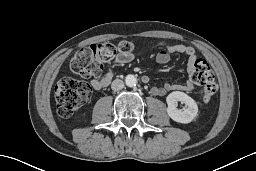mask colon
I'll use <instances>...</instances> for the list:
<instances>
[{
  "mask_svg": "<svg viewBox=\"0 0 256 171\" xmlns=\"http://www.w3.org/2000/svg\"><path fill=\"white\" fill-rule=\"evenodd\" d=\"M132 48L128 41L84 47L71 59L70 68L83 77L99 76L104 63L114 60L118 55L129 54ZM191 73L192 81L202 87V100L208 103L217 91L214 72L205 60L198 59ZM55 95L58 113L69 117L88 101L91 88L85 82L65 77L58 81Z\"/></svg>",
  "mask_w": 256,
  "mask_h": 171,
  "instance_id": "5ec220e1",
  "label": "colon"
}]
</instances>
